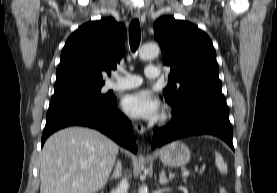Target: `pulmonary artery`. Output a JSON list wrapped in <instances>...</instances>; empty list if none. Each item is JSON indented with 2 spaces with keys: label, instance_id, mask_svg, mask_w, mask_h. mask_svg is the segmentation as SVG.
I'll return each mask as SVG.
<instances>
[{
  "label": "pulmonary artery",
  "instance_id": "e3ab8cb5",
  "mask_svg": "<svg viewBox=\"0 0 277 193\" xmlns=\"http://www.w3.org/2000/svg\"><path fill=\"white\" fill-rule=\"evenodd\" d=\"M145 75L147 78L154 79L160 76V71L155 66H147L145 68ZM142 83V78L139 75L134 74H125V75H118L114 76V80H111L106 83V89L114 90V91H121L136 88Z\"/></svg>",
  "mask_w": 277,
  "mask_h": 193
}]
</instances>
